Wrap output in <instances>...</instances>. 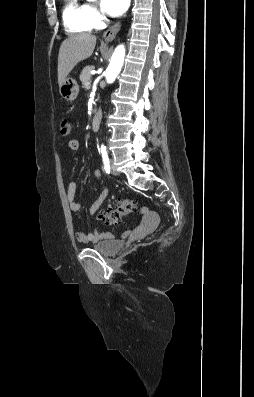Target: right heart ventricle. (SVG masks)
<instances>
[{"label": "right heart ventricle", "instance_id": "obj_1", "mask_svg": "<svg viewBox=\"0 0 254 397\" xmlns=\"http://www.w3.org/2000/svg\"><path fill=\"white\" fill-rule=\"evenodd\" d=\"M63 23L69 34H83L93 29L88 18L87 4L80 0H64Z\"/></svg>", "mask_w": 254, "mask_h": 397}]
</instances>
